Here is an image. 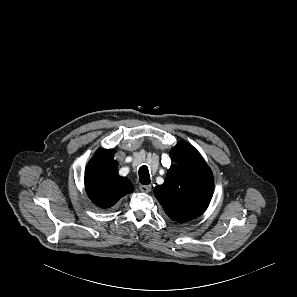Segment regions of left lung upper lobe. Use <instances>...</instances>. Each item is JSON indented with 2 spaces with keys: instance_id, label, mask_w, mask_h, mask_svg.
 I'll use <instances>...</instances> for the list:
<instances>
[{
  "instance_id": "5c2ea615",
  "label": "left lung upper lobe",
  "mask_w": 297,
  "mask_h": 297,
  "mask_svg": "<svg viewBox=\"0 0 297 297\" xmlns=\"http://www.w3.org/2000/svg\"><path fill=\"white\" fill-rule=\"evenodd\" d=\"M170 155L175 164L168 170L164 183L155 187L154 194L172 220L186 222L207 209L213 195L214 178L191 144L178 143Z\"/></svg>"
}]
</instances>
